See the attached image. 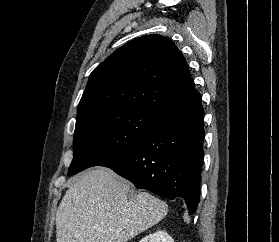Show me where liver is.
<instances>
[{"label":"liver","mask_w":279,"mask_h":242,"mask_svg":"<svg viewBox=\"0 0 279 242\" xmlns=\"http://www.w3.org/2000/svg\"><path fill=\"white\" fill-rule=\"evenodd\" d=\"M56 212L57 242H127L167 214L166 202L139 192L108 168L70 180Z\"/></svg>","instance_id":"1"}]
</instances>
